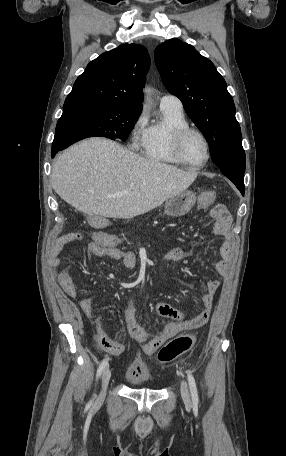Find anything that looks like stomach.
<instances>
[{"instance_id":"0dacf381","label":"stomach","mask_w":286,"mask_h":456,"mask_svg":"<svg viewBox=\"0 0 286 456\" xmlns=\"http://www.w3.org/2000/svg\"><path fill=\"white\" fill-rule=\"evenodd\" d=\"M196 202V195L192 191H183L169 198L164 207L168 216L179 217L188 213Z\"/></svg>"}]
</instances>
